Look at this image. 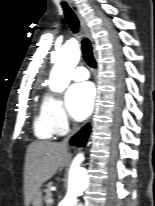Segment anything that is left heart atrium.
<instances>
[{"mask_svg": "<svg viewBox=\"0 0 155 206\" xmlns=\"http://www.w3.org/2000/svg\"><path fill=\"white\" fill-rule=\"evenodd\" d=\"M95 89L91 83L72 85L66 94L67 107L71 115L82 120L89 116L93 109Z\"/></svg>", "mask_w": 155, "mask_h": 206, "instance_id": "obj_1", "label": "left heart atrium"}]
</instances>
